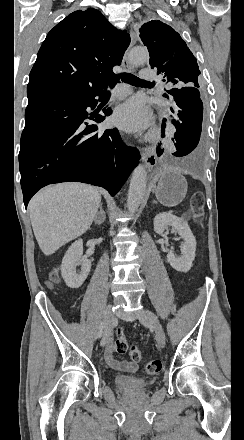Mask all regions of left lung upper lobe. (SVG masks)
Masks as SVG:
<instances>
[{
  "label": "left lung upper lobe",
  "instance_id": "left-lung-upper-lobe-1",
  "mask_svg": "<svg viewBox=\"0 0 244 440\" xmlns=\"http://www.w3.org/2000/svg\"><path fill=\"white\" fill-rule=\"evenodd\" d=\"M140 37L148 48L151 68L159 70L157 74L173 84L199 87L196 58L178 32L159 20H151L141 27Z\"/></svg>",
  "mask_w": 244,
  "mask_h": 440
}]
</instances>
